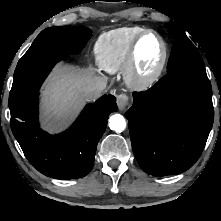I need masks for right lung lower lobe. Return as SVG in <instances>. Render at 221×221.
Wrapping results in <instances>:
<instances>
[{
	"instance_id": "obj_1",
	"label": "right lung lower lobe",
	"mask_w": 221,
	"mask_h": 221,
	"mask_svg": "<svg viewBox=\"0 0 221 221\" xmlns=\"http://www.w3.org/2000/svg\"><path fill=\"white\" fill-rule=\"evenodd\" d=\"M38 94L10 107L12 132L26 158L42 174L55 179H76L92 169L97 143L107 117L118 110L116 98L104 95L82 111L65 132L49 135L39 128Z\"/></svg>"
}]
</instances>
